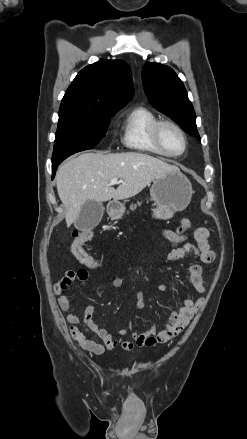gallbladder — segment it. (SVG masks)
<instances>
[{
    "mask_svg": "<svg viewBox=\"0 0 247 439\" xmlns=\"http://www.w3.org/2000/svg\"><path fill=\"white\" fill-rule=\"evenodd\" d=\"M103 213L104 206L101 202L88 200L81 207V211L74 222V226L79 230L93 229L101 221Z\"/></svg>",
    "mask_w": 247,
    "mask_h": 439,
    "instance_id": "bac80fb5",
    "label": "gallbladder"
}]
</instances>
